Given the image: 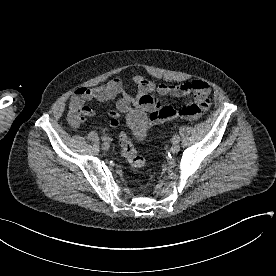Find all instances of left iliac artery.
<instances>
[{
    "label": "left iliac artery",
    "instance_id": "1",
    "mask_svg": "<svg viewBox=\"0 0 276 276\" xmlns=\"http://www.w3.org/2000/svg\"><path fill=\"white\" fill-rule=\"evenodd\" d=\"M179 141H180L179 135H174L172 138V142H179Z\"/></svg>",
    "mask_w": 276,
    "mask_h": 276
}]
</instances>
